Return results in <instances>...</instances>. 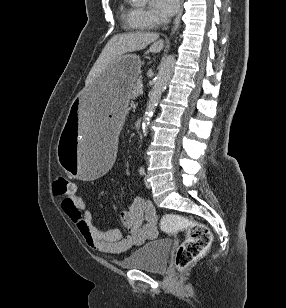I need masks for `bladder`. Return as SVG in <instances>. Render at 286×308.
<instances>
[{
    "label": "bladder",
    "instance_id": "bladder-1",
    "mask_svg": "<svg viewBox=\"0 0 286 308\" xmlns=\"http://www.w3.org/2000/svg\"><path fill=\"white\" fill-rule=\"evenodd\" d=\"M171 242L157 239L148 242L120 260L125 269H138L147 272H163L167 269L168 253Z\"/></svg>",
    "mask_w": 286,
    "mask_h": 308
}]
</instances>
